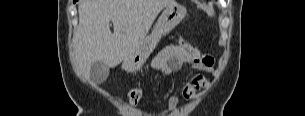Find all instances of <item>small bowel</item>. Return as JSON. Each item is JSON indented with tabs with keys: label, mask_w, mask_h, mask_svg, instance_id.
<instances>
[{
	"label": "small bowel",
	"mask_w": 305,
	"mask_h": 116,
	"mask_svg": "<svg viewBox=\"0 0 305 116\" xmlns=\"http://www.w3.org/2000/svg\"><path fill=\"white\" fill-rule=\"evenodd\" d=\"M184 64H189L199 71L211 72L214 60L211 55L203 53L199 48L189 45L184 40L176 45L163 47L151 60L152 68L166 76L176 73ZM208 85L209 81L206 77L196 75L183 85L181 97L185 101H190L199 91L206 89ZM179 102L180 99L176 95H170L167 98L168 107L172 112L178 111Z\"/></svg>",
	"instance_id": "obj_1"
}]
</instances>
